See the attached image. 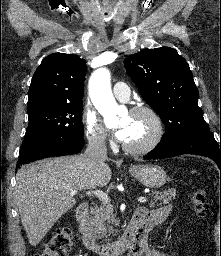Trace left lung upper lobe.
Returning <instances> with one entry per match:
<instances>
[{"mask_svg": "<svg viewBox=\"0 0 221 256\" xmlns=\"http://www.w3.org/2000/svg\"><path fill=\"white\" fill-rule=\"evenodd\" d=\"M124 65L145 102L165 124L162 140L209 130L189 65L175 49H146L126 57Z\"/></svg>", "mask_w": 221, "mask_h": 256, "instance_id": "5c2ea615", "label": "left lung upper lobe"}]
</instances>
